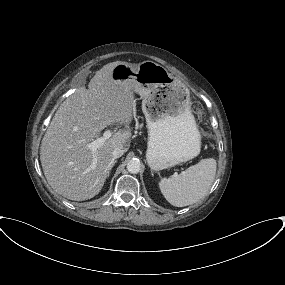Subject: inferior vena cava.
Returning a JSON list of instances; mask_svg holds the SVG:
<instances>
[{
    "instance_id": "1",
    "label": "inferior vena cava",
    "mask_w": 285,
    "mask_h": 285,
    "mask_svg": "<svg viewBox=\"0 0 285 285\" xmlns=\"http://www.w3.org/2000/svg\"><path fill=\"white\" fill-rule=\"evenodd\" d=\"M125 150L123 147H116L113 152H112V155H113V158L114 159H117L119 157H121L123 154H124Z\"/></svg>"
}]
</instances>
